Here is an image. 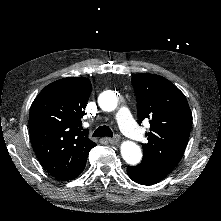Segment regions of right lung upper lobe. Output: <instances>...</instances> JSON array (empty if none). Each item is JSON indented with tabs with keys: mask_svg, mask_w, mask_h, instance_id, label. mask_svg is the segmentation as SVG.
Returning a JSON list of instances; mask_svg holds the SVG:
<instances>
[{
	"mask_svg": "<svg viewBox=\"0 0 221 221\" xmlns=\"http://www.w3.org/2000/svg\"><path fill=\"white\" fill-rule=\"evenodd\" d=\"M92 85L85 77H69L47 85L30 108L29 131L41 165L67 181L85 166L96 144L82 130L81 118Z\"/></svg>",
	"mask_w": 221,
	"mask_h": 221,
	"instance_id": "cb5924a9",
	"label": "right lung upper lobe"
}]
</instances>
